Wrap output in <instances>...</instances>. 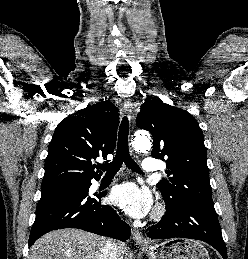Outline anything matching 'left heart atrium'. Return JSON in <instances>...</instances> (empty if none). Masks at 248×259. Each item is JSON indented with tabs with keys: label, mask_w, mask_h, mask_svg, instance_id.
I'll use <instances>...</instances> for the list:
<instances>
[{
	"label": "left heart atrium",
	"mask_w": 248,
	"mask_h": 259,
	"mask_svg": "<svg viewBox=\"0 0 248 259\" xmlns=\"http://www.w3.org/2000/svg\"><path fill=\"white\" fill-rule=\"evenodd\" d=\"M111 201L135 218L145 216L152 206L150 192L134 183H125L116 186L112 190Z\"/></svg>",
	"instance_id": "1"
}]
</instances>
